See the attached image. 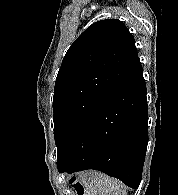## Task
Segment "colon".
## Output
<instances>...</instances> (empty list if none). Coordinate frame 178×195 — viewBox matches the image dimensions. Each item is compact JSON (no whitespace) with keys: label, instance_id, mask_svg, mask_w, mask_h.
I'll use <instances>...</instances> for the list:
<instances>
[{"label":"colon","instance_id":"5ec220e1","mask_svg":"<svg viewBox=\"0 0 178 195\" xmlns=\"http://www.w3.org/2000/svg\"><path fill=\"white\" fill-rule=\"evenodd\" d=\"M75 189H76L77 195H91L89 192H87L85 190V188L83 187V185L80 184V183H76L75 184Z\"/></svg>","mask_w":178,"mask_h":195}]
</instances>
